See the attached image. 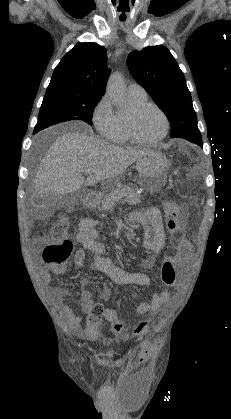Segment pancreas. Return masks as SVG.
<instances>
[{"label": "pancreas", "instance_id": "cf45deb5", "mask_svg": "<svg viewBox=\"0 0 231 419\" xmlns=\"http://www.w3.org/2000/svg\"><path fill=\"white\" fill-rule=\"evenodd\" d=\"M122 194L123 196H121ZM123 197L124 199H122ZM119 200L123 203H128L129 205H136L142 202L141 194L138 193L135 188L120 185L119 187L113 189L109 194H106L101 199L99 206L102 210H108Z\"/></svg>", "mask_w": 231, "mask_h": 419}]
</instances>
